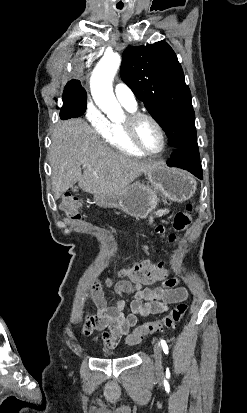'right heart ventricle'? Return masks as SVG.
Segmentation results:
<instances>
[{"instance_id":"obj_1","label":"right heart ventricle","mask_w":247,"mask_h":413,"mask_svg":"<svg viewBox=\"0 0 247 413\" xmlns=\"http://www.w3.org/2000/svg\"><path fill=\"white\" fill-rule=\"evenodd\" d=\"M106 143L113 145L115 151H120L121 155L143 158L145 155L137 150L130 142L126 126L124 123H113L107 127V132L104 133Z\"/></svg>"}]
</instances>
